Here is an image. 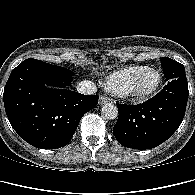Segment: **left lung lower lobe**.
Listing matches in <instances>:
<instances>
[{
  "label": "left lung lower lobe",
  "instance_id": "1",
  "mask_svg": "<svg viewBox=\"0 0 195 195\" xmlns=\"http://www.w3.org/2000/svg\"><path fill=\"white\" fill-rule=\"evenodd\" d=\"M188 94L187 79L176 78L142 104H117L119 117L113 127L115 138L125 147L140 150L162 144L180 126Z\"/></svg>",
  "mask_w": 195,
  "mask_h": 195
}]
</instances>
